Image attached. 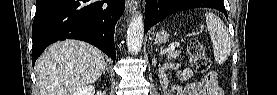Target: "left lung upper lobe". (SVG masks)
<instances>
[{
  "instance_id": "left-lung-upper-lobe-1",
  "label": "left lung upper lobe",
  "mask_w": 277,
  "mask_h": 95,
  "mask_svg": "<svg viewBox=\"0 0 277 95\" xmlns=\"http://www.w3.org/2000/svg\"><path fill=\"white\" fill-rule=\"evenodd\" d=\"M179 6L191 9V8H199L200 5L199 3H197V0H180Z\"/></svg>"
}]
</instances>
